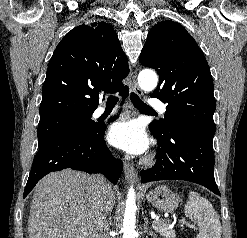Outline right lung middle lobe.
Returning a JSON list of instances; mask_svg holds the SVG:
<instances>
[{
  "label": "right lung middle lobe",
  "instance_id": "1",
  "mask_svg": "<svg viewBox=\"0 0 247 238\" xmlns=\"http://www.w3.org/2000/svg\"><path fill=\"white\" fill-rule=\"evenodd\" d=\"M92 113L61 115L39 121L38 145L68 134H88L96 128Z\"/></svg>",
  "mask_w": 247,
  "mask_h": 238
}]
</instances>
